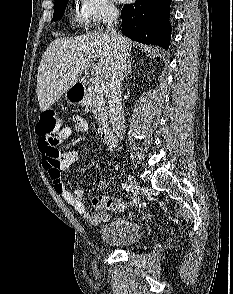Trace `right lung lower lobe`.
I'll return each instance as SVG.
<instances>
[{
  "label": "right lung lower lobe",
  "mask_w": 233,
  "mask_h": 294,
  "mask_svg": "<svg viewBox=\"0 0 233 294\" xmlns=\"http://www.w3.org/2000/svg\"><path fill=\"white\" fill-rule=\"evenodd\" d=\"M170 3L171 0H136L124 6L121 12L123 35L167 50L171 38Z\"/></svg>",
  "instance_id": "right-lung-lower-lobe-1"
}]
</instances>
